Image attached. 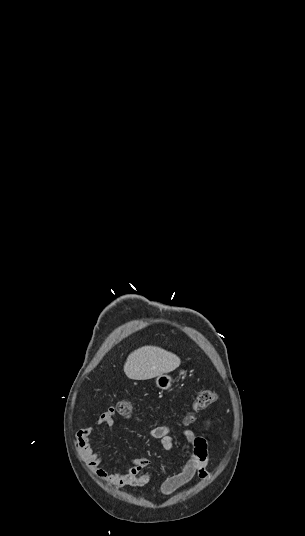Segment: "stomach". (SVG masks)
Returning <instances> with one entry per match:
<instances>
[{
  "label": "stomach",
  "instance_id": "0dacf381",
  "mask_svg": "<svg viewBox=\"0 0 305 536\" xmlns=\"http://www.w3.org/2000/svg\"><path fill=\"white\" fill-rule=\"evenodd\" d=\"M185 372L184 370H181L180 376H184ZM172 378L171 376H168V374H160V376H156L155 384L157 388H160V390H169L172 386Z\"/></svg>",
  "mask_w": 305,
  "mask_h": 536
}]
</instances>
